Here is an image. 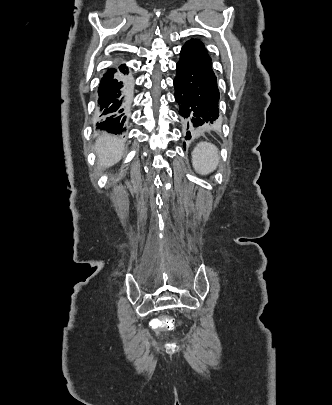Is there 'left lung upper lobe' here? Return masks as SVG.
<instances>
[{
  "mask_svg": "<svg viewBox=\"0 0 332 405\" xmlns=\"http://www.w3.org/2000/svg\"><path fill=\"white\" fill-rule=\"evenodd\" d=\"M186 43L190 44V45H193V46H196V47H199V48L203 49L204 51H206L204 44L198 39H191V40L187 41Z\"/></svg>",
  "mask_w": 332,
  "mask_h": 405,
  "instance_id": "left-lung-upper-lobe-1",
  "label": "left lung upper lobe"
}]
</instances>
